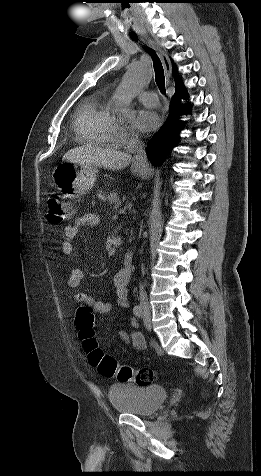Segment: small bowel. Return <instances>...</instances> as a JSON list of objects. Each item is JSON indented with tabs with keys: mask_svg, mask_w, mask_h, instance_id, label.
Instances as JSON below:
<instances>
[{
	"mask_svg": "<svg viewBox=\"0 0 261 476\" xmlns=\"http://www.w3.org/2000/svg\"><path fill=\"white\" fill-rule=\"evenodd\" d=\"M100 223V218L94 213H85L78 217L73 225H68L64 229L63 240L60 245L61 251L66 255H72L74 252L72 240L76 237L78 231L83 227H96ZM129 276L124 270H120L114 276L113 287L115 293V302L117 306L121 308L129 307V299L127 292V282ZM83 280V272L79 268L71 270L67 283L68 286L77 289L81 286ZM75 299L82 303L90 305L94 311L99 314L106 315L112 310L113 304L111 302H105L95 300L89 295L78 292L75 295ZM130 325L133 328L137 327V322L133 318L130 319ZM119 337L122 341L132 344L136 349H142L145 345L144 337L138 331H129L125 328H120L118 331Z\"/></svg>",
	"mask_w": 261,
	"mask_h": 476,
	"instance_id": "small-bowel-1",
	"label": "small bowel"
}]
</instances>
